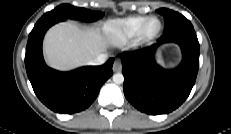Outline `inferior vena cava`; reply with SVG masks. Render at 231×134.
I'll list each match as a JSON object with an SVG mask.
<instances>
[{
    "instance_id": "inferior-vena-cava-1",
    "label": "inferior vena cava",
    "mask_w": 231,
    "mask_h": 134,
    "mask_svg": "<svg viewBox=\"0 0 231 134\" xmlns=\"http://www.w3.org/2000/svg\"><path fill=\"white\" fill-rule=\"evenodd\" d=\"M107 59V54L102 53L88 62L89 65H102Z\"/></svg>"
}]
</instances>
